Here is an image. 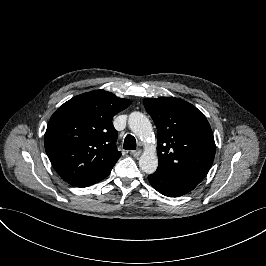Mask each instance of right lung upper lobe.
Segmentation results:
<instances>
[{
    "instance_id": "obj_1",
    "label": "right lung upper lobe",
    "mask_w": 266,
    "mask_h": 266,
    "mask_svg": "<svg viewBox=\"0 0 266 266\" xmlns=\"http://www.w3.org/2000/svg\"><path fill=\"white\" fill-rule=\"evenodd\" d=\"M110 92L78 95L52 115L44 136L54 169L67 183L87 187L104 179L121 156L112 118L130 105Z\"/></svg>"
}]
</instances>
